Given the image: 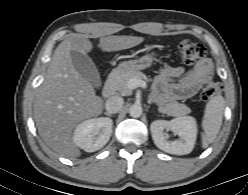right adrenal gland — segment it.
<instances>
[{"mask_svg":"<svg viewBox=\"0 0 248 195\" xmlns=\"http://www.w3.org/2000/svg\"><path fill=\"white\" fill-rule=\"evenodd\" d=\"M104 114H105L106 116H109V117H112V116H113L111 113H108V112H104Z\"/></svg>","mask_w":248,"mask_h":195,"instance_id":"right-adrenal-gland-1","label":"right adrenal gland"}]
</instances>
